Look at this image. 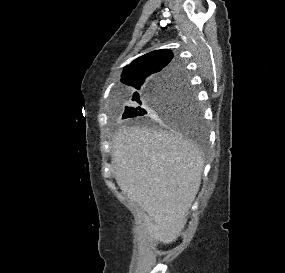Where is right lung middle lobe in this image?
Returning a JSON list of instances; mask_svg holds the SVG:
<instances>
[{"mask_svg":"<svg viewBox=\"0 0 285 273\" xmlns=\"http://www.w3.org/2000/svg\"><path fill=\"white\" fill-rule=\"evenodd\" d=\"M132 101L122 119H158L189 131L202 127L199 106L180 66L152 81Z\"/></svg>","mask_w":285,"mask_h":273,"instance_id":"right-lung-middle-lobe-1","label":"right lung middle lobe"}]
</instances>
